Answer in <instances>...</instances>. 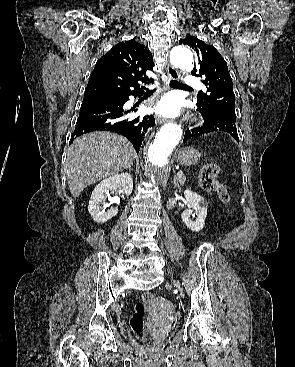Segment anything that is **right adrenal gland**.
I'll use <instances>...</instances> for the list:
<instances>
[{
    "label": "right adrenal gland",
    "mask_w": 295,
    "mask_h": 367,
    "mask_svg": "<svg viewBox=\"0 0 295 367\" xmlns=\"http://www.w3.org/2000/svg\"><path fill=\"white\" fill-rule=\"evenodd\" d=\"M127 169L130 170V171H132V166H129Z\"/></svg>",
    "instance_id": "1"
}]
</instances>
